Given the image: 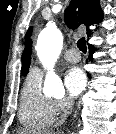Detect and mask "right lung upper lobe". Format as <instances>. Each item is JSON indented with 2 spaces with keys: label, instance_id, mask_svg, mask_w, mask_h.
I'll use <instances>...</instances> for the list:
<instances>
[{
  "label": "right lung upper lobe",
  "instance_id": "1",
  "mask_svg": "<svg viewBox=\"0 0 116 134\" xmlns=\"http://www.w3.org/2000/svg\"><path fill=\"white\" fill-rule=\"evenodd\" d=\"M103 12L99 0H72L65 11V22L69 28L76 29L80 24L87 27V34L90 33L89 26L102 20ZM31 29L26 34L25 49L22 55V74L25 75L30 66L32 41L29 38Z\"/></svg>",
  "mask_w": 116,
  "mask_h": 134
}]
</instances>
